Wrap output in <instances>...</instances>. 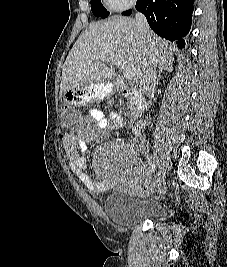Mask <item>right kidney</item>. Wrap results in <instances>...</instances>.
<instances>
[{
    "label": "right kidney",
    "mask_w": 227,
    "mask_h": 267,
    "mask_svg": "<svg viewBox=\"0 0 227 267\" xmlns=\"http://www.w3.org/2000/svg\"><path fill=\"white\" fill-rule=\"evenodd\" d=\"M145 126V123L142 121H139L135 124L132 131L135 135H141V130Z\"/></svg>",
    "instance_id": "ca27d5eb"
}]
</instances>
